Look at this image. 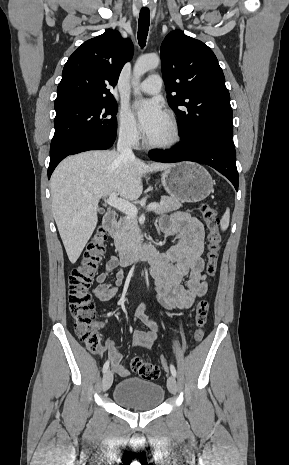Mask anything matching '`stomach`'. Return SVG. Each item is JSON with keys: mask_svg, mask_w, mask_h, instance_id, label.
I'll return each mask as SVG.
<instances>
[{"mask_svg": "<svg viewBox=\"0 0 289 465\" xmlns=\"http://www.w3.org/2000/svg\"><path fill=\"white\" fill-rule=\"evenodd\" d=\"M165 191L174 199L196 203L204 200L213 191V179L201 165L193 162L173 164L161 174Z\"/></svg>", "mask_w": 289, "mask_h": 465, "instance_id": "0dacf381", "label": "stomach"}]
</instances>
